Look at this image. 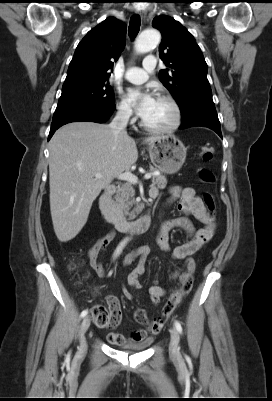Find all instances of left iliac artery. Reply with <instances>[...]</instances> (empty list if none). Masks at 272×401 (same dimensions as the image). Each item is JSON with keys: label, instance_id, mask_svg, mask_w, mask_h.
Segmentation results:
<instances>
[{"label": "left iliac artery", "instance_id": "left-iliac-artery-1", "mask_svg": "<svg viewBox=\"0 0 272 401\" xmlns=\"http://www.w3.org/2000/svg\"><path fill=\"white\" fill-rule=\"evenodd\" d=\"M174 324H175V327H176L177 331H178L179 333H181V332H182V326H181V324H180L178 321H175Z\"/></svg>", "mask_w": 272, "mask_h": 401}]
</instances>
